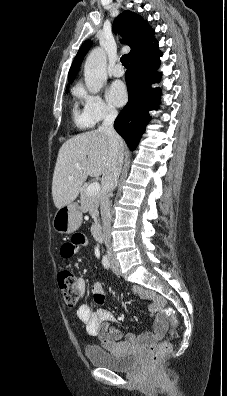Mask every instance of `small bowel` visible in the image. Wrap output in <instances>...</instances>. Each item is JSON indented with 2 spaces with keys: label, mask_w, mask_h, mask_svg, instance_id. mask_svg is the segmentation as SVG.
Masks as SVG:
<instances>
[{
  "label": "small bowel",
  "mask_w": 227,
  "mask_h": 396,
  "mask_svg": "<svg viewBox=\"0 0 227 396\" xmlns=\"http://www.w3.org/2000/svg\"><path fill=\"white\" fill-rule=\"evenodd\" d=\"M86 245V237L82 234H75L70 242L63 244L61 248L62 256L69 258ZM77 287L80 295H83L86 291V282L83 278L77 280ZM91 289L95 302L99 305L103 304L105 292L102 284L95 280L92 282ZM132 290L142 299L151 302L149 311L154 316L153 332H147L139 336L129 333L123 340L121 331L113 325L115 317L112 312L106 309L92 311L86 304L80 305L77 309V316L85 324L88 334L98 337L101 345L107 350L115 349L123 343L146 344L154 347L168 331V323L161 314L163 299L152 290L139 285H134Z\"/></svg>",
  "instance_id": "obj_1"
}]
</instances>
